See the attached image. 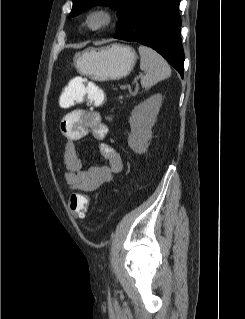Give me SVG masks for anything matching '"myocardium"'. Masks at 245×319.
I'll use <instances>...</instances> for the list:
<instances>
[{"label": "myocardium", "instance_id": "myocardium-1", "mask_svg": "<svg viewBox=\"0 0 245 319\" xmlns=\"http://www.w3.org/2000/svg\"><path fill=\"white\" fill-rule=\"evenodd\" d=\"M114 20L111 10L103 7L92 8L85 18V25L88 30L98 32L109 27Z\"/></svg>", "mask_w": 245, "mask_h": 319}]
</instances>
